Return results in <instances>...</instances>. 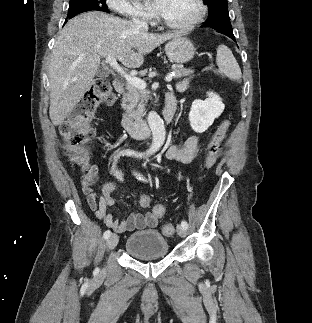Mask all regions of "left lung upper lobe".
<instances>
[{
  "label": "left lung upper lobe",
  "mask_w": 312,
  "mask_h": 323,
  "mask_svg": "<svg viewBox=\"0 0 312 323\" xmlns=\"http://www.w3.org/2000/svg\"><path fill=\"white\" fill-rule=\"evenodd\" d=\"M204 4L208 5L209 16L204 22V26L214 30L232 31L230 18L228 14L227 0H203Z\"/></svg>",
  "instance_id": "left-lung-upper-lobe-1"
}]
</instances>
